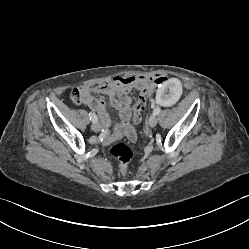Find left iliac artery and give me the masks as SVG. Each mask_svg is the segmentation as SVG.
<instances>
[{
	"label": "left iliac artery",
	"instance_id": "left-iliac-artery-1",
	"mask_svg": "<svg viewBox=\"0 0 249 249\" xmlns=\"http://www.w3.org/2000/svg\"><path fill=\"white\" fill-rule=\"evenodd\" d=\"M160 112H161V108H160V107H156V108L153 110V114H154V115H158Z\"/></svg>",
	"mask_w": 249,
	"mask_h": 249
}]
</instances>
